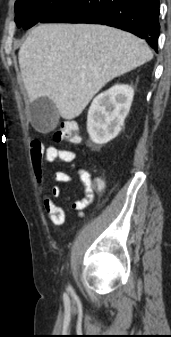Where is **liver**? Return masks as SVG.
Wrapping results in <instances>:
<instances>
[{
  "instance_id": "obj_1",
  "label": "liver",
  "mask_w": 171,
  "mask_h": 337,
  "mask_svg": "<svg viewBox=\"0 0 171 337\" xmlns=\"http://www.w3.org/2000/svg\"><path fill=\"white\" fill-rule=\"evenodd\" d=\"M152 58L143 39L92 24H41L18 54L30 101L50 99L66 120L78 117L110 80Z\"/></svg>"
}]
</instances>
